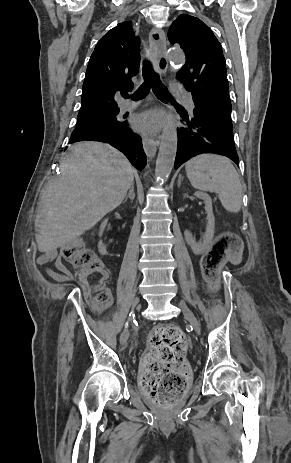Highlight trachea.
<instances>
[{
    "label": "trachea",
    "mask_w": 291,
    "mask_h": 463,
    "mask_svg": "<svg viewBox=\"0 0 291 463\" xmlns=\"http://www.w3.org/2000/svg\"><path fill=\"white\" fill-rule=\"evenodd\" d=\"M142 74L144 77L143 84L139 87V89L133 94L132 98L134 100H138L144 98L145 95L149 92L150 88H152L156 97L160 100H168L171 99L175 101L168 93L167 89L162 84L158 73L154 71L150 61L144 60ZM122 96L124 98L128 97L127 92H123Z\"/></svg>",
    "instance_id": "3493384b"
}]
</instances>
